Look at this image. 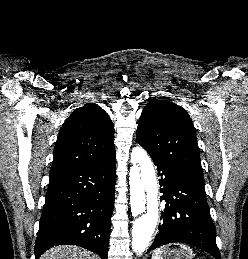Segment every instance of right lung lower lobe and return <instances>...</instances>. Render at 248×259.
I'll return each instance as SVG.
<instances>
[{"instance_id": "right-lung-lower-lobe-1", "label": "right lung lower lobe", "mask_w": 248, "mask_h": 259, "mask_svg": "<svg viewBox=\"0 0 248 259\" xmlns=\"http://www.w3.org/2000/svg\"><path fill=\"white\" fill-rule=\"evenodd\" d=\"M115 163L113 154L99 163L50 173L35 259L61 244L78 245L107 259Z\"/></svg>"}]
</instances>
